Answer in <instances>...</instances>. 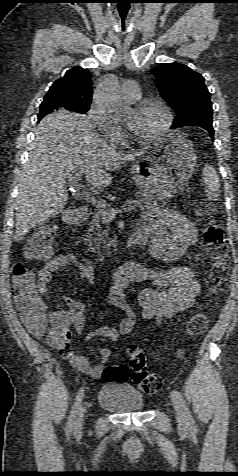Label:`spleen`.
Segmentation results:
<instances>
[{
	"mask_svg": "<svg viewBox=\"0 0 238 476\" xmlns=\"http://www.w3.org/2000/svg\"><path fill=\"white\" fill-rule=\"evenodd\" d=\"M203 180L207 196L210 200L216 201L220 196V182L216 170L206 165L203 169Z\"/></svg>",
	"mask_w": 238,
	"mask_h": 476,
	"instance_id": "3e777b00",
	"label": "spleen"
}]
</instances>
